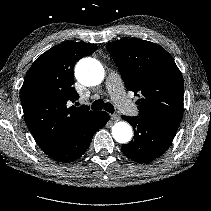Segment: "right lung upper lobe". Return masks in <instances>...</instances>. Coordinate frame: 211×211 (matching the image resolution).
Segmentation results:
<instances>
[{
  "instance_id": "right-lung-upper-lobe-1",
  "label": "right lung upper lobe",
  "mask_w": 211,
  "mask_h": 211,
  "mask_svg": "<svg viewBox=\"0 0 211 211\" xmlns=\"http://www.w3.org/2000/svg\"><path fill=\"white\" fill-rule=\"evenodd\" d=\"M96 50L90 43L56 45L38 57L25 76L20 90L25 120L46 154L58 149L81 122L97 112L70 106L79 98L72 86L73 67Z\"/></svg>"
}]
</instances>
